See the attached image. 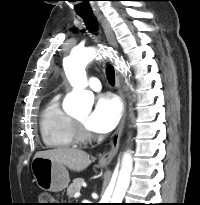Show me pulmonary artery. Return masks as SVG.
Segmentation results:
<instances>
[{
    "label": "pulmonary artery",
    "instance_id": "pulmonary-artery-1",
    "mask_svg": "<svg viewBox=\"0 0 200 205\" xmlns=\"http://www.w3.org/2000/svg\"><path fill=\"white\" fill-rule=\"evenodd\" d=\"M88 85L93 91H100L101 90V83H100L99 79H97L95 77H92L89 79Z\"/></svg>",
    "mask_w": 200,
    "mask_h": 205
}]
</instances>
